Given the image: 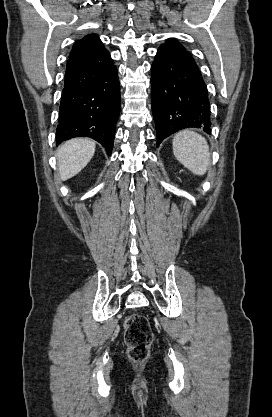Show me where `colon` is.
Instances as JSON below:
<instances>
[{"label":"colon","mask_w":272,"mask_h":417,"mask_svg":"<svg viewBox=\"0 0 272 417\" xmlns=\"http://www.w3.org/2000/svg\"><path fill=\"white\" fill-rule=\"evenodd\" d=\"M124 337L128 357L136 363L146 360L153 342V333L148 319L138 313L130 315L124 324Z\"/></svg>","instance_id":"5ec220e1"}]
</instances>
